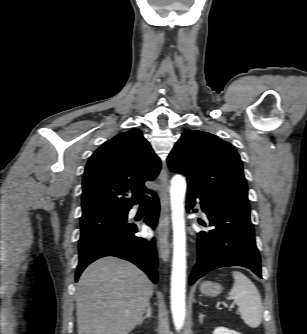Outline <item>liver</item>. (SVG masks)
Wrapping results in <instances>:
<instances>
[{
	"instance_id": "obj_1",
	"label": "liver",
	"mask_w": 307,
	"mask_h": 334,
	"mask_svg": "<svg viewBox=\"0 0 307 334\" xmlns=\"http://www.w3.org/2000/svg\"><path fill=\"white\" fill-rule=\"evenodd\" d=\"M151 281L132 263L108 256L82 273L76 287L78 334H128L142 319Z\"/></svg>"
}]
</instances>
